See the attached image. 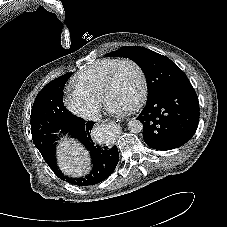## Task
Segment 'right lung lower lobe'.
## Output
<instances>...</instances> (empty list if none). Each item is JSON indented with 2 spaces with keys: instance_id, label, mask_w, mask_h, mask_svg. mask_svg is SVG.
Wrapping results in <instances>:
<instances>
[{
  "instance_id": "right-lung-lower-lobe-1",
  "label": "right lung lower lobe",
  "mask_w": 227,
  "mask_h": 227,
  "mask_svg": "<svg viewBox=\"0 0 227 227\" xmlns=\"http://www.w3.org/2000/svg\"><path fill=\"white\" fill-rule=\"evenodd\" d=\"M94 123L92 121L85 122L82 118L73 115L63 124L59 133V136L69 134L77 138L90 151L93 168L89 175L82 178H72L60 171L55 156L56 141L51 146L50 152L43 156L45 162L60 179L78 186L94 185L105 180L115 170L119 161L118 149L116 146L101 147L93 142L90 133Z\"/></svg>"
}]
</instances>
